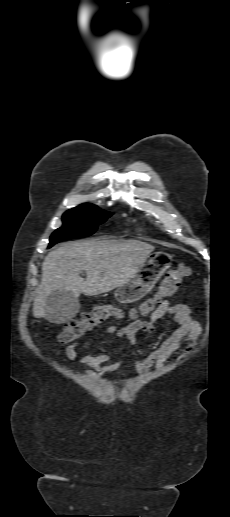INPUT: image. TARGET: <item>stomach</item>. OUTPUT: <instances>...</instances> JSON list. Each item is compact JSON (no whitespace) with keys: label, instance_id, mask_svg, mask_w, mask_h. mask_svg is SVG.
<instances>
[{"label":"stomach","instance_id":"1","mask_svg":"<svg viewBox=\"0 0 230 517\" xmlns=\"http://www.w3.org/2000/svg\"><path fill=\"white\" fill-rule=\"evenodd\" d=\"M172 257L165 252H155L147 257L127 283L118 287L115 298L123 304L133 303L144 297L171 266Z\"/></svg>","mask_w":230,"mask_h":517}]
</instances>
